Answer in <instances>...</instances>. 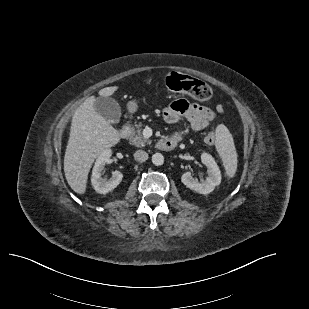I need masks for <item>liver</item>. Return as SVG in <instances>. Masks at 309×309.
I'll return each instance as SVG.
<instances>
[{
	"instance_id": "liver-1",
	"label": "liver",
	"mask_w": 309,
	"mask_h": 309,
	"mask_svg": "<svg viewBox=\"0 0 309 309\" xmlns=\"http://www.w3.org/2000/svg\"><path fill=\"white\" fill-rule=\"evenodd\" d=\"M117 86L106 87L99 95L109 97ZM94 96L88 97L74 112L70 136L64 156V173L72 190L84 194L87 178L94 160L120 141L119 132L98 114L94 108Z\"/></svg>"
}]
</instances>
